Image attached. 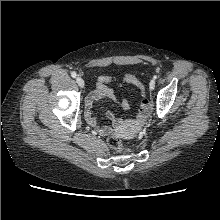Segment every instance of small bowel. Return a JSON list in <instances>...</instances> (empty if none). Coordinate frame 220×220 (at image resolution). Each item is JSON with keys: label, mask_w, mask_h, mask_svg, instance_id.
<instances>
[{"label": "small bowel", "mask_w": 220, "mask_h": 220, "mask_svg": "<svg viewBox=\"0 0 220 220\" xmlns=\"http://www.w3.org/2000/svg\"><path fill=\"white\" fill-rule=\"evenodd\" d=\"M123 84H131L135 87L138 94L141 96V106L140 111L142 109V102L146 99L145 97V89L142 84V82L139 80V78L132 74L127 73L124 75L123 78L120 80L114 79L108 76H100L97 80V87L96 90L91 92L87 97L85 98L84 103V117L86 122L98 130L101 134H106L108 132V127L103 126L98 123L96 116L93 113L92 105L95 100L107 97L114 102H116L122 109H128L129 108V102L126 99H120L118 100L116 96L114 95V92L110 85H116V86H122ZM142 112V111H141ZM110 118H113V114H109Z\"/></svg>", "instance_id": "1"}]
</instances>
